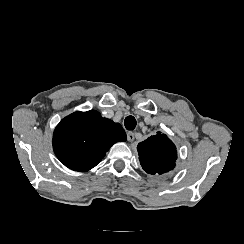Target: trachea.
Wrapping results in <instances>:
<instances>
[{
	"mask_svg": "<svg viewBox=\"0 0 244 244\" xmlns=\"http://www.w3.org/2000/svg\"><path fill=\"white\" fill-rule=\"evenodd\" d=\"M124 125H125V128L128 130V131H132L135 129L136 127V119L134 116H127L124 120Z\"/></svg>",
	"mask_w": 244,
	"mask_h": 244,
	"instance_id": "1",
	"label": "trachea"
}]
</instances>
